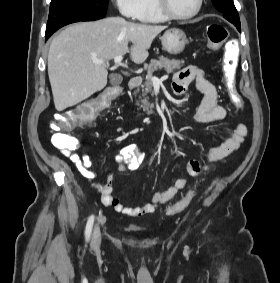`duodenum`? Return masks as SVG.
<instances>
[{
  "instance_id": "obj_1",
  "label": "duodenum",
  "mask_w": 280,
  "mask_h": 283,
  "mask_svg": "<svg viewBox=\"0 0 280 283\" xmlns=\"http://www.w3.org/2000/svg\"><path fill=\"white\" fill-rule=\"evenodd\" d=\"M142 83V79L139 76H134L129 80V88L130 90H135Z\"/></svg>"
}]
</instances>
